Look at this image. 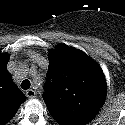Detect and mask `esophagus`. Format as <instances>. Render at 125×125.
<instances>
[{
	"label": "esophagus",
	"mask_w": 125,
	"mask_h": 125,
	"mask_svg": "<svg viewBox=\"0 0 125 125\" xmlns=\"http://www.w3.org/2000/svg\"><path fill=\"white\" fill-rule=\"evenodd\" d=\"M26 96L28 98H31V99L35 98L36 97V91L33 90V89H29V90L26 91Z\"/></svg>",
	"instance_id": "34e87169"
}]
</instances>
